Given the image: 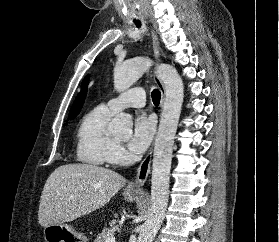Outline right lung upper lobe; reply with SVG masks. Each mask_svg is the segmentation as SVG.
I'll use <instances>...</instances> for the list:
<instances>
[{
	"mask_svg": "<svg viewBox=\"0 0 279 242\" xmlns=\"http://www.w3.org/2000/svg\"><path fill=\"white\" fill-rule=\"evenodd\" d=\"M87 85H88V78L86 77L82 83L81 92L78 94L77 98L75 99V101L73 103L69 117H75L77 115V113L80 111L84 98H85Z\"/></svg>",
	"mask_w": 279,
	"mask_h": 242,
	"instance_id": "obj_1",
	"label": "right lung upper lobe"
}]
</instances>
